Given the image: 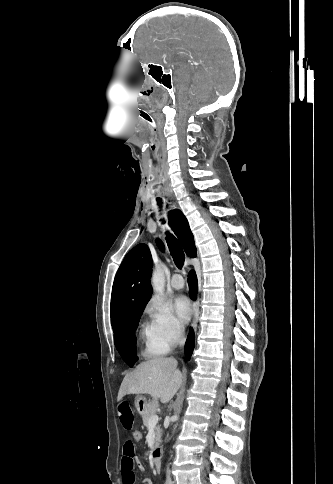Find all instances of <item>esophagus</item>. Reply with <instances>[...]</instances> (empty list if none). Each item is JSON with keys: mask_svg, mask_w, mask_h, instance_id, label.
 Returning a JSON list of instances; mask_svg holds the SVG:
<instances>
[{"mask_svg": "<svg viewBox=\"0 0 333 484\" xmlns=\"http://www.w3.org/2000/svg\"><path fill=\"white\" fill-rule=\"evenodd\" d=\"M193 312H194V316H193V321H192V327L194 330H196V327H197V323H198V318H199V302L198 300H195L194 303H193Z\"/></svg>", "mask_w": 333, "mask_h": 484, "instance_id": "1", "label": "esophagus"}]
</instances>
